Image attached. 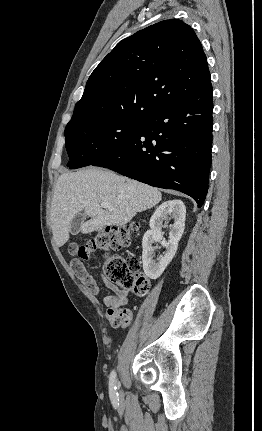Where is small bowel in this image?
<instances>
[{
  "mask_svg": "<svg viewBox=\"0 0 262 431\" xmlns=\"http://www.w3.org/2000/svg\"><path fill=\"white\" fill-rule=\"evenodd\" d=\"M76 260L73 261L72 265ZM83 270L81 272L76 273L79 280L83 283L85 288L93 294H99L101 288L94 277H92L86 270L85 266L82 264ZM113 294L107 295L103 298V303L107 307V316L108 318L115 312L120 310H127L130 314L129 309H123L122 307L127 302V294L126 290H120L114 286H110Z\"/></svg>",
  "mask_w": 262,
  "mask_h": 431,
  "instance_id": "obj_1",
  "label": "small bowel"
}]
</instances>
